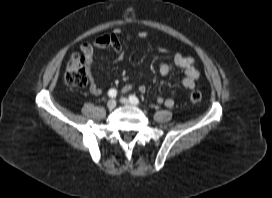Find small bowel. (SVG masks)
I'll return each instance as SVG.
<instances>
[{
  "mask_svg": "<svg viewBox=\"0 0 272 198\" xmlns=\"http://www.w3.org/2000/svg\"><path fill=\"white\" fill-rule=\"evenodd\" d=\"M121 34L119 28H115L111 33L104 34L91 42H85L81 45V51L86 56L88 73H89V90L94 95H100L102 93V88L93 79L91 74V66L94 56L95 49H110L116 53L115 61L121 63L124 60L125 54L122 49V45L118 39ZM148 36L147 31H140L137 33V37L146 38ZM130 38V35H128ZM174 68H180L184 71V78L182 80V86L186 89H193L195 87L196 81L200 77V72L194 66V59L190 56H184L180 53H176L171 62H161L158 66L159 73L161 75L169 74ZM133 88L132 84H127L123 87L124 92H128ZM139 91L141 93L146 92V86L140 85ZM175 91L172 92L167 98L158 97L157 102L159 104H164L166 107H173L174 105V95Z\"/></svg>",
  "mask_w": 272,
  "mask_h": 198,
  "instance_id": "1",
  "label": "small bowel"
}]
</instances>
